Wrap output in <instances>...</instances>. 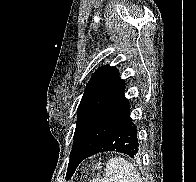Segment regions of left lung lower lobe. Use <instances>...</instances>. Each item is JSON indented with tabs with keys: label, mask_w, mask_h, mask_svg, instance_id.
<instances>
[{
	"label": "left lung lower lobe",
	"mask_w": 196,
	"mask_h": 182,
	"mask_svg": "<svg viewBox=\"0 0 196 182\" xmlns=\"http://www.w3.org/2000/svg\"><path fill=\"white\" fill-rule=\"evenodd\" d=\"M138 147L137 129L130 117L129 111V113L93 151L73 152L71 153V159H74L73 161H75L76 169L80 162L84 159L102 152H120L133 158L139 152ZM73 173L68 177V179L71 178Z\"/></svg>",
	"instance_id": "left-lung-lower-lobe-1"
}]
</instances>
